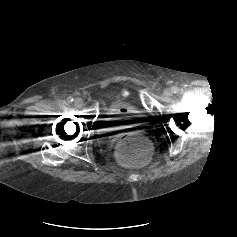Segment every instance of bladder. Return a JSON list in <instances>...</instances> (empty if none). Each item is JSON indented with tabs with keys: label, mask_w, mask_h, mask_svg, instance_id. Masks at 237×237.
Listing matches in <instances>:
<instances>
[{
	"label": "bladder",
	"mask_w": 237,
	"mask_h": 237,
	"mask_svg": "<svg viewBox=\"0 0 237 237\" xmlns=\"http://www.w3.org/2000/svg\"><path fill=\"white\" fill-rule=\"evenodd\" d=\"M124 110L119 112L118 110ZM143 119V113L133 106L116 102L111 106L110 114L105 115L99 122L102 134H112L120 130L137 126Z\"/></svg>",
	"instance_id": "31cf9c89"
}]
</instances>
